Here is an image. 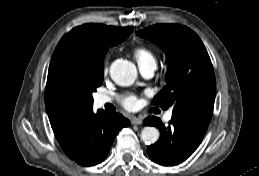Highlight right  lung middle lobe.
<instances>
[{"label": "right lung middle lobe", "mask_w": 259, "mask_h": 176, "mask_svg": "<svg viewBox=\"0 0 259 176\" xmlns=\"http://www.w3.org/2000/svg\"><path fill=\"white\" fill-rule=\"evenodd\" d=\"M107 51L108 47L99 51H89L81 43L75 44L71 49L72 65L91 95L102 84L104 58Z\"/></svg>", "instance_id": "1"}]
</instances>
